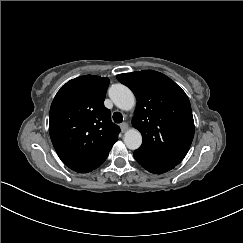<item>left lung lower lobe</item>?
Wrapping results in <instances>:
<instances>
[{
	"mask_svg": "<svg viewBox=\"0 0 243 243\" xmlns=\"http://www.w3.org/2000/svg\"><path fill=\"white\" fill-rule=\"evenodd\" d=\"M133 155H134V158L136 159V161L143 168H145L146 170H148L149 172L154 173V174H162L175 167L173 165L156 162V161L152 160L150 157H148L142 153H139L137 151H134Z\"/></svg>",
	"mask_w": 243,
	"mask_h": 243,
	"instance_id": "1",
	"label": "left lung lower lobe"
}]
</instances>
